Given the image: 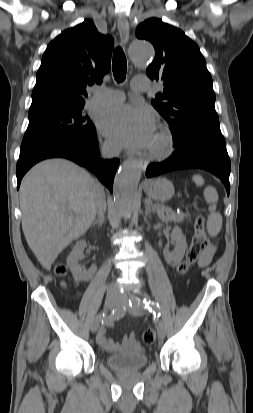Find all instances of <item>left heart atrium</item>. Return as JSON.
<instances>
[{
  "instance_id": "39dd6f15",
  "label": "left heart atrium",
  "mask_w": 253,
  "mask_h": 413,
  "mask_svg": "<svg viewBox=\"0 0 253 413\" xmlns=\"http://www.w3.org/2000/svg\"><path fill=\"white\" fill-rule=\"evenodd\" d=\"M99 128L108 137L128 147H149L155 136V122L150 110L121 105L104 112Z\"/></svg>"
}]
</instances>
